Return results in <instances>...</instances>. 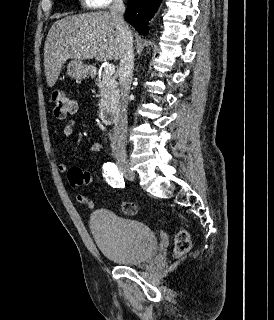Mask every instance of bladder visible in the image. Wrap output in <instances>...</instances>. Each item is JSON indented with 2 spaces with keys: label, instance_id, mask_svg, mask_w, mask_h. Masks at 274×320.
Wrapping results in <instances>:
<instances>
[{
  "label": "bladder",
  "instance_id": "1",
  "mask_svg": "<svg viewBox=\"0 0 274 320\" xmlns=\"http://www.w3.org/2000/svg\"><path fill=\"white\" fill-rule=\"evenodd\" d=\"M89 227L100 252L117 264L139 265L152 258L157 251V236L148 225L112 210L95 211Z\"/></svg>",
  "mask_w": 274,
  "mask_h": 320
}]
</instances>
